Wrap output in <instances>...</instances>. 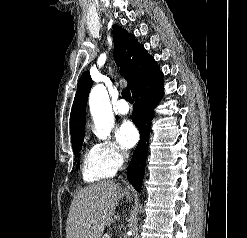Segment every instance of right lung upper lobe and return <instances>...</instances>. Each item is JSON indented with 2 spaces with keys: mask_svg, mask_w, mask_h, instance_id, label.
Listing matches in <instances>:
<instances>
[{
  "mask_svg": "<svg viewBox=\"0 0 247 238\" xmlns=\"http://www.w3.org/2000/svg\"><path fill=\"white\" fill-rule=\"evenodd\" d=\"M113 40L115 62L120 74L128 82L127 88L134 94L159 73V67L154 58L135 40L134 35L118 25L113 26ZM91 86L90 74L84 72L77 84L70 115L72 144L84 139L86 104Z\"/></svg>",
  "mask_w": 247,
  "mask_h": 238,
  "instance_id": "right-lung-upper-lobe-1",
  "label": "right lung upper lobe"
}]
</instances>
